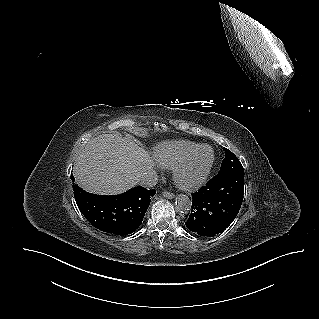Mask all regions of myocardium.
<instances>
[{
    "instance_id": "1",
    "label": "myocardium",
    "mask_w": 319,
    "mask_h": 319,
    "mask_svg": "<svg viewBox=\"0 0 319 319\" xmlns=\"http://www.w3.org/2000/svg\"><path fill=\"white\" fill-rule=\"evenodd\" d=\"M203 148H209L211 150V153H212L211 160L207 164V166L205 167L203 172L200 174V176H198L196 179H193V180H187L185 178L186 170H187L188 166L190 165V163L192 162V160L198 154V152ZM215 160H216L215 151L211 146L206 145V144L199 145L196 149H194L190 154H188L184 159H182L174 167V170H173L174 182L176 183V185L179 188L186 190V191H194V190L199 189L201 186H203L206 183V181H207V179H208V177H209V175L214 167Z\"/></svg>"
}]
</instances>
